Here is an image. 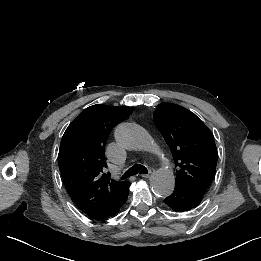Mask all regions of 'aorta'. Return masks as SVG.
I'll return each instance as SVG.
<instances>
[{
    "label": "aorta",
    "instance_id": "762f6f07",
    "mask_svg": "<svg viewBox=\"0 0 261 261\" xmlns=\"http://www.w3.org/2000/svg\"><path fill=\"white\" fill-rule=\"evenodd\" d=\"M117 143L131 150H150L159 152L158 146L141 126L134 123L119 124L115 130ZM175 186V176L170 168L158 169L151 178L153 192L161 198L172 194Z\"/></svg>",
    "mask_w": 261,
    "mask_h": 261
}]
</instances>
